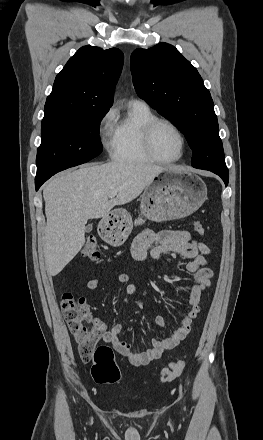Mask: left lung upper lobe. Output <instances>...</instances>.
Segmentation results:
<instances>
[{
    "mask_svg": "<svg viewBox=\"0 0 263 440\" xmlns=\"http://www.w3.org/2000/svg\"><path fill=\"white\" fill-rule=\"evenodd\" d=\"M130 63L138 95L185 134L192 166L227 172L214 104L196 68L167 43L136 49Z\"/></svg>",
    "mask_w": 263,
    "mask_h": 440,
    "instance_id": "1",
    "label": "left lung upper lobe"
}]
</instances>
